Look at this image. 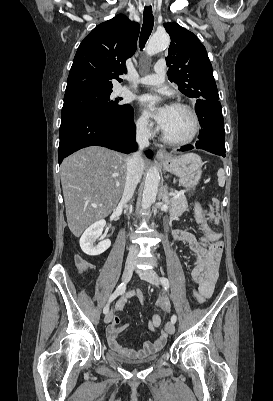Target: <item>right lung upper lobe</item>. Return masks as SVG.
I'll list each match as a JSON object with an SVG mask.
<instances>
[{
  "label": "right lung upper lobe",
  "instance_id": "cb5924a9",
  "mask_svg": "<svg viewBox=\"0 0 273 401\" xmlns=\"http://www.w3.org/2000/svg\"><path fill=\"white\" fill-rule=\"evenodd\" d=\"M139 31V24L122 14L96 26L78 47L65 96L112 90L111 80L126 72L125 61L137 48Z\"/></svg>",
  "mask_w": 273,
  "mask_h": 401
}]
</instances>
